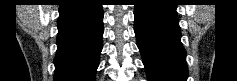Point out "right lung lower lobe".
<instances>
[{
  "mask_svg": "<svg viewBox=\"0 0 237 81\" xmlns=\"http://www.w3.org/2000/svg\"><path fill=\"white\" fill-rule=\"evenodd\" d=\"M59 13L54 81H94L102 50V5L66 0Z\"/></svg>",
  "mask_w": 237,
  "mask_h": 81,
  "instance_id": "98d812e1",
  "label": "right lung lower lobe"
}]
</instances>
